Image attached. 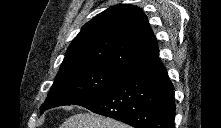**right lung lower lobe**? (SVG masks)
<instances>
[{"label":"right lung lower lobe","instance_id":"right-lung-lower-lobe-1","mask_svg":"<svg viewBox=\"0 0 221 128\" xmlns=\"http://www.w3.org/2000/svg\"><path fill=\"white\" fill-rule=\"evenodd\" d=\"M76 105L134 128H174V87L158 57Z\"/></svg>","mask_w":221,"mask_h":128}]
</instances>
